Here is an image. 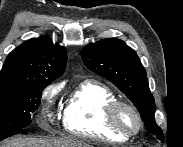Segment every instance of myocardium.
I'll use <instances>...</instances> for the list:
<instances>
[{
  "instance_id": "obj_1",
  "label": "myocardium",
  "mask_w": 183,
  "mask_h": 147,
  "mask_svg": "<svg viewBox=\"0 0 183 147\" xmlns=\"http://www.w3.org/2000/svg\"><path fill=\"white\" fill-rule=\"evenodd\" d=\"M121 109H127L132 112L136 119L135 128L127 129L121 125L118 118ZM105 121L113 131L128 137L138 134L143 127V120L137 108L132 104L122 100H115L107 106L105 111Z\"/></svg>"
}]
</instances>
